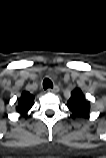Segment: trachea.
I'll use <instances>...</instances> for the list:
<instances>
[{"mask_svg":"<svg viewBox=\"0 0 106 158\" xmlns=\"http://www.w3.org/2000/svg\"><path fill=\"white\" fill-rule=\"evenodd\" d=\"M43 88L46 90L48 88H53V83L50 79L46 78L43 81Z\"/></svg>","mask_w":106,"mask_h":158,"instance_id":"3493384b","label":"trachea"}]
</instances>
